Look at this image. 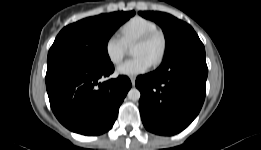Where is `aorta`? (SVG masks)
I'll return each mask as SVG.
<instances>
[{
  "label": "aorta",
  "mask_w": 261,
  "mask_h": 150,
  "mask_svg": "<svg viewBox=\"0 0 261 150\" xmlns=\"http://www.w3.org/2000/svg\"><path fill=\"white\" fill-rule=\"evenodd\" d=\"M127 96L132 101H138L140 99L141 93L137 88H132L129 90Z\"/></svg>",
  "instance_id": "obj_1"
}]
</instances>
